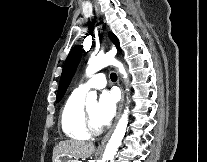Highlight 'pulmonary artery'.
<instances>
[{"instance_id": "obj_1", "label": "pulmonary artery", "mask_w": 207, "mask_h": 162, "mask_svg": "<svg viewBox=\"0 0 207 162\" xmlns=\"http://www.w3.org/2000/svg\"><path fill=\"white\" fill-rule=\"evenodd\" d=\"M106 86L104 73H96L88 81L80 84L76 90L86 93L90 89H102Z\"/></svg>"}]
</instances>
